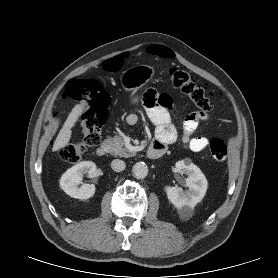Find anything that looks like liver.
I'll return each mask as SVG.
<instances>
[{
	"mask_svg": "<svg viewBox=\"0 0 278 278\" xmlns=\"http://www.w3.org/2000/svg\"><path fill=\"white\" fill-rule=\"evenodd\" d=\"M84 109L85 103L77 104L72 109L53 144V151H57L68 144L72 134L71 128L75 125L76 121L83 113Z\"/></svg>",
	"mask_w": 278,
	"mask_h": 278,
	"instance_id": "6515ba94",
	"label": "liver"
}]
</instances>
